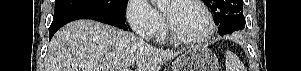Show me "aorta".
I'll list each match as a JSON object with an SVG mask.
<instances>
[{
    "label": "aorta",
    "mask_w": 301,
    "mask_h": 71,
    "mask_svg": "<svg viewBox=\"0 0 301 71\" xmlns=\"http://www.w3.org/2000/svg\"><path fill=\"white\" fill-rule=\"evenodd\" d=\"M152 1H155L157 2L158 4H164L167 2V0H152Z\"/></svg>",
    "instance_id": "1"
}]
</instances>
